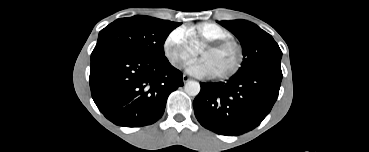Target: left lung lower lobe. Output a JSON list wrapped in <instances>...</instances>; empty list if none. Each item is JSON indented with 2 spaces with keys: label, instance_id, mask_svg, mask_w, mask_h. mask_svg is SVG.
<instances>
[{
  "label": "left lung lower lobe",
  "instance_id": "obj_1",
  "mask_svg": "<svg viewBox=\"0 0 369 152\" xmlns=\"http://www.w3.org/2000/svg\"><path fill=\"white\" fill-rule=\"evenodd\" d=\"M282 74L234 75L226 82L200 83L193 102L199 123L221 135L236 136L257 127L271 111Z\"/></svg>",
  "mask_w": 369,
  "mask_h": 152
}]
</instances>
